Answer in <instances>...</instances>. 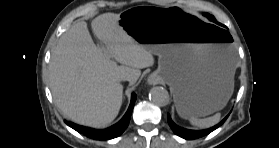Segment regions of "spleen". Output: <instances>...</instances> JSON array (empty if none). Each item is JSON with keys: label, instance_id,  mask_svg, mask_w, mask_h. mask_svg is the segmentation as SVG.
<instances>
[{"label": "spleen", "instance_id": "3e777b00", "mask_svg": "<svg viewBox=\"0 0 279 148\" xmlns=\"http://www.w3.org/2000/svg\"><path fill=\"white\" fill-rule=\"evenodd\" d=\"M221 114L216 113L211 117L204 118V119H198L196 117L190 118V122L192 125L199 127V128H209L211 126H214L220 121Z\"/></svg>", "mask_w": 279, "mask_h": 148}]
</instances>
